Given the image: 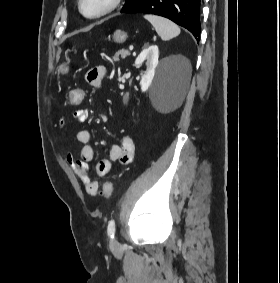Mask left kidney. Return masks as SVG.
<instances>
[{
	"label": "left kidney",
	"instance_id": "5707ae66",
	"mask_svg": "<svg viewBox=\"0 0 280 283\" xmlns=\"http://www.w3.org/2000/svg\"><path fill=\"white\" fill-rule=\"evenodd\" d=\"M159 50L157 45H151L145 48L136 58L135 64L141 66L144 61L146 65V71L143 73L142 79L140 81L142 92H146L150 87L154 75L155 69L158 65ZM172 60L177 61L181 65L187 63V60L183 57H172Z\"/></svg>",
	"mask_w": 280,
	"mask_h": 283
}]
</instances>
